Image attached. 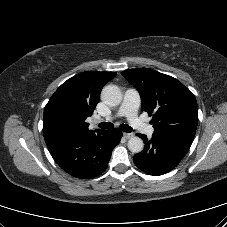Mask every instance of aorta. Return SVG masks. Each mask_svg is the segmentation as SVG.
Listing matches in <instances>:
<instances>
[{"mask_svg": "<svg viewBox=\"0 0 227 227\" xmlns=\"http://www.w3.org/2000/svg\"><path fill=\"white\" fill-rule=\"evenodd\" d=\"M102 101L111 107L117 106L122 101V92L115 85H107L101 93ZM144 148L143 140L137 136L131 137L128 141V149L133 153H140Z\"/></svg>", "mask_w": 227, "mask_h": 227, "instance_id": "1", "label": "aorta"}]
</instances>
